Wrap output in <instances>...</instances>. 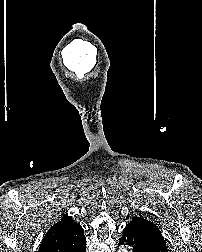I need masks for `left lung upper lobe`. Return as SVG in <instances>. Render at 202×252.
Here are the masks:
<instances>
[{"instance_id": "obj_1", "label": "left lung upper lobe", "mask_w": 202, "mask_h": 252, "mask_svg": "<svg viewBox=\"0 0 202 252\" xmlns=\"http://www.w3.org/2000/svg\"><path fill=\"white\" fill-rule=\"evenodd\" d=\"M132 221L144 222V223L150 224V225L153 226L154 228L158 229V228L156 227V225H155L153 222L148 221V220H146V219H144V218H141V217H134V218L132 219ZM158 230H159V229H158Z\"/></svg>"}]
</instances>
